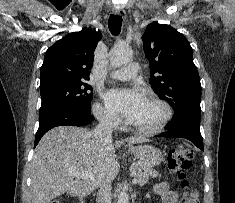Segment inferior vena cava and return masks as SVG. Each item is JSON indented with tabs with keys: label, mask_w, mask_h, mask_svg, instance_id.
<instances>
[{
	"label": "inferior vena cava",
	"mask_w": 235,
	"mask_h": 203,
	"mask_svg": "<svg viewBox=\"0 0 235 203\" xmlns=\"http://www.w3.org/2000/svg\"><path fill=\"white\" fill-rule=\"evenodd\" d=\"M114 127V118L109 114H103L99 117V124L95 133L105 141L112 140V130ZM96 203H110L111 181H102L99 185Z\"/></svg>",
	"instance_id": "1"
}]
</instances>
